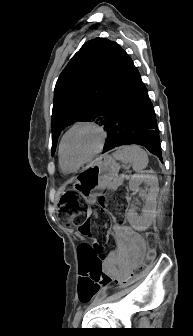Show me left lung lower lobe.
<instances>
[{
  "label": "left lung lower lobe",
  "mask_w": 193,
  "mask_h": 336,
  "mask_svg": "<svg viewBox=\"0 0 193 336\" xmlns=\"http://www.w3.org/2000/svg\"><path fill=\"white\" fill-rule=\"evenodd\" d=\"M104 129L108 137L103 153L118 146L137 144L163 161L154 108L129 56Z\"/></svg>",
  "instance_id": "1"
}]
</instances>
